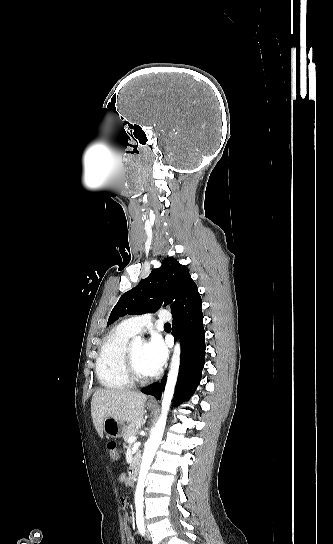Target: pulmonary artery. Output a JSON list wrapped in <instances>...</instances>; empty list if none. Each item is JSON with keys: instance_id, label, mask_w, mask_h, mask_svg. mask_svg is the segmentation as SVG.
Masks as SVG:
<instances>
[{"instance_id": "pulmonary-artery-1", "label": "pulmonary artery", "mask_w": 333, "mask_h": 544, "mask_svg": "<svg viewBox=\"0 0 333 544\" xmlns=\"http://www.w3.org/2000/svg\"><path fill=\"white\" fill-rule=\"evenodd\" d=\"M160 321L168 322L171 319V315L166 310H161L158 314ZM151 324V317L149 315H139L128 318L122 322V326L132 334L139 333Z\"/></svg>"}]
</instances>
